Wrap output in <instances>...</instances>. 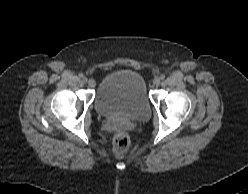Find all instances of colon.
<instances>
[{
	"mask_svg": "<svg viewBox=\"0 0 248 194\" xmlns=\"http://www.w3.org/2000/svg\"><path fill=\"white\" fill-rule=\"evenodd\" d=\"M131 147V141L127 134L120 132L114 136L113 150L117 155L126 154Z\"/></svg>",
	"mask_w": 248,
	"mask_h": 194,
	"instance_id": "5ec220e1",
	"label": "colon"
}]
</instances>
